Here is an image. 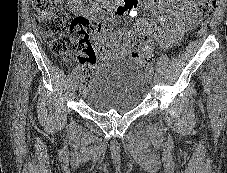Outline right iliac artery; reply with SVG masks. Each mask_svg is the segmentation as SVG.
<instances>
[{"label": "right iliac artery", "instance_id": "obj_1", "mask_svg": "<svg viewBox=\"0 0 227 173\" xmlns=\"http://www.w3.org/2000/svg\"><path fill=\"white\" fill-rule=\"evenodd\" d=\"M79 70H80V67H79V66L75 67V68L73 69V71H72V76H77L78 73H79Z\"/></svg>", "mask_w": 227, "mask_h": 173}]
</instances>
